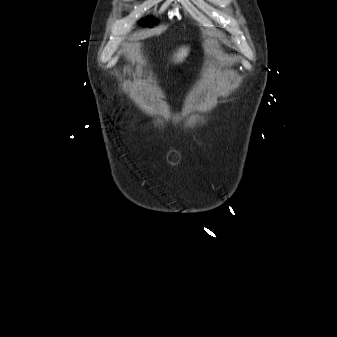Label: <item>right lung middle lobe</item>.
<instances>
[{"mask_svg":"<svg viewBox=\"0 0 337 337\" xmlns=\"http://www.w3.org/2000/svg\"><path fill=\"white\" fill-rule=\"evenodd\" d=\"M147 20H148V22L142 21V23H141L142 26H149V27H151L152 24H156L157 23V20L154 19V18H148Z\"/></svg>","mask_w":337,"mask_h":337,"instance_id":"dd1d6c3e","label":"right lung middle lobe"}]
</instances>
